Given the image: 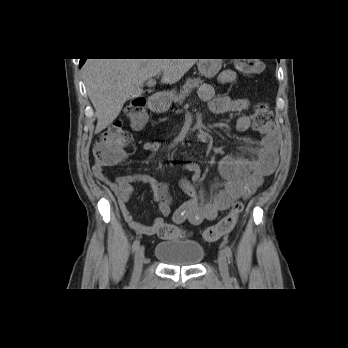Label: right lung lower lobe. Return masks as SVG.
<instances>
[{
  "label": "right lung lower lobe",
  "mask_w": 348,
  "mask_h": 348,
  "mask_svg": "<svg viewBox=\"0 0 348 348\" xmlns=\"http://www.w3.org/2000/svg\"><path fill=\"white\" fill-rule=\"evenodd\" d=\"M86 59H80V67L84 64Z\"/></svg>",
  "instance_id": "98d812e1"
}]
</instances>
